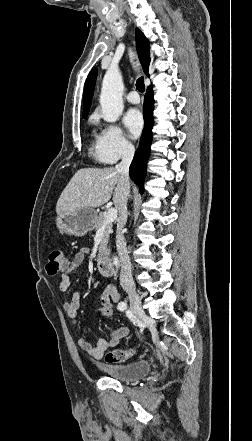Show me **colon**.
<instances>
[{
	"label": "colon",
	"mask_w": 252,
	"mask_h": 441,
	"mask_svg": "<svg viewBox=\"0 0 252 441\" xmlns=\"http://www.w3.org/2000/svg\"><path fill=\"white\" fill-rule=\"evenodd\" d=\"M68 266V259L65 254L59 250L54 249L49 253L48 262L46 264V271L49 275H55L60 271L65 270ZM114 307L110 305L102 306L96 313V315L103 319H108L113 316ZM134 350H112L104 355V359L107 363H122L127 361L134 355Z\"/></svg>",
	"instance_id": "1"
}]
</instances>
